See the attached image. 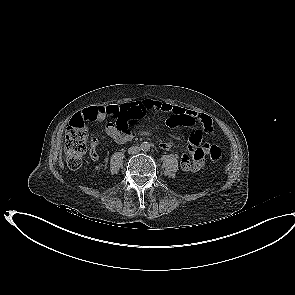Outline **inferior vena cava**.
I'll list each match as a JSON object with an SVG mask.
<instances>
[{
    "mask_svg": "<svg viewBox=\"0 0 295 295\" xmlns=\"http://www.w3.org/2000/svg\"><path fill=\"white\" fill-rule=\"evenodd\" d=\"M140 150H141L140 147H138V146H132V147H130V148L128 149V153L133 155V154H137V153H139Z\"/></svg>",
    "mask_w": 295,
    "mask_h": 295,
    "instance_id": "602c4592",
    "label": "inferior vena cava"
}]
</instances>
